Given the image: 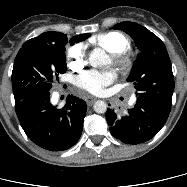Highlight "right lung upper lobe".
I'll list each match as a JSON object with an SVG mask.
<instances>
[{
	"label": "right lung upper lobe",
	"mask_w": 187,
	"mask_h": 187,
	"mask_svg": "<svg viewBox=\"0 0 187 187\" xmlns=\"http://www.w3.org/2000/svg\"><path fill=\"white\" fill-rule=\"evenodd\" d=\"M65 36L64 34L60 32H44L40 36L36 37L38 39H43V40H52V41H59L62 37ZM67 38V36H65ZM89 37V34H82V35H77L71 38V40H76L78 42L86 39Z\"/></svg>",
	"instance_id": "right-lung-upper-lobe-1"
}]
</instances>
